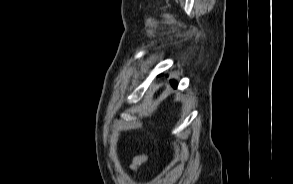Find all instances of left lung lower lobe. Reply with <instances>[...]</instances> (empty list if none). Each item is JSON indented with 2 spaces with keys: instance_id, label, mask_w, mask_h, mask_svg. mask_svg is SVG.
Returning a JSON list of instances; mask_svg holds the SVG:
<instances>
[{
  "instance_id": "obj_1",
  "label": "left lung lower lobe",
  "mask_w": 293,
  "mask_h": 184,
  "mask_svg": "<svg viewBox=\"0 0 293 184\" xmlns=\"http://www.w3.org/2000/svg\"><path fill=\"white\" fill-rule=\"evenodd\" d=\"M171 84H172V86H173L174 88L177 87V84L175 83V81H171Z\"/></svg>"
}]
</instances>
